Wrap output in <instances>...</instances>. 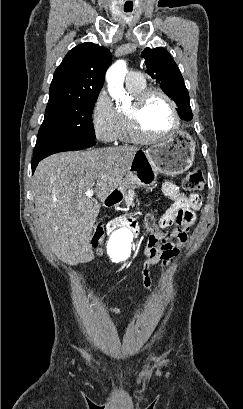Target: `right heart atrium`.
Segmentation results:
<instances>
[{
	"mask_svg": "<svg viewBox=\"0 0 243 409\" xmlns=\"http://www.w3.org/2000/svg\"><path fill=\"white\" fill-rule=\"evenodd\" d=\"M91 124L95 136L105 142H115L120 133V115L109 95L102 91L91 111Z\"/></svg>",
	"mask_w": 243,
	"mask_h": 409,
	"instance_id": "right-heart-atrium-1",
	"label": "right heart atrium"
}]
</instances>
